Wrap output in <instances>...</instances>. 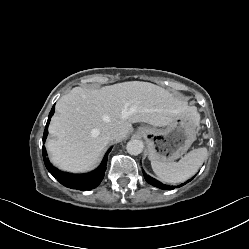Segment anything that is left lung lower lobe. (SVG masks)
<instances>
[{
	"instance_id": "left-lung-lower-lobe-1",
	"label": "left lung lower lobe",
	"mask_w": 249,
	"mask_h": 249,
	"mask_svg": "<svg viewBox=\"0 0 249 249\" xmlns=\"http://www.w3.org/2000/svg\"><path fill=\"white\" fill-rule=\"evenodd\" d=\"M144 177H145V180L155 186V187H158L160 189H164V190H169V189H174V186H168V185H165V184H162L161 182L157 181L156 179L150 177V176H147L146 174H144ZM192 179L188 180L187 182L191 181ZM185 184V183H184ZM184 184H181L179 185L178 187H181L183 186Z\"/></svg>"
}]
</instances>
